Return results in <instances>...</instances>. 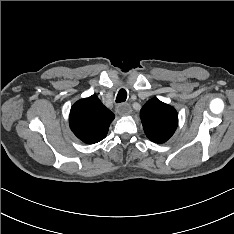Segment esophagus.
<instances>
[{
  "label": "esophagus",
  "mask_w": 234,
  "mask_h": 234,
  "mask_svg": "<svg viewBox=\"0 0 234 234\" xmlns=\"http://www.w3.org/2000/svg\"><path fill=\"white\" fill-rule=\"evenodd\" d=\"M116 111L120 114V115H129L132 112L131 106L127 103L125 104H120L116 107Z\"/></svg>",
  "instance_id": "esophagus-1"
}]
</instances>
